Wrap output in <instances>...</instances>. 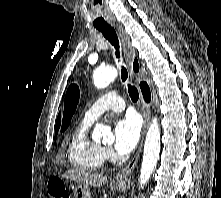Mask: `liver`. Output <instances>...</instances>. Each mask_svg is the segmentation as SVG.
Here are the masks:
<instances>
[{"instance_id": "6515ba94", "label": "liver", "mask_w": 221, "mask_h": 198, "mask_svg": "<svg viewBox=\"0 0 221 198\" xmlns=\"http://www.w3.org/2000/svg\"><path fill=\"white\" fill-rule=\"evenodd\" d=\"M63 177L85 186L101 187L107 183V176L80 169H70Z\"/></svg>"}]
</instances>
